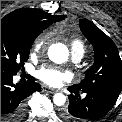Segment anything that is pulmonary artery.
<instances>
[{
    "instance_id": "e3ab8cb5",
    "label": "pulmonary artery",
    "mask_w": 122,
    "mask_h": 122,
    "mask_svg": "<svg viewBox=\"0 0 122 122\" xmlns=\"http://www.w3.org/2000/svg\"><path fill=\"white\" fill-rule=\"evenodd\" d=\"M84 53L80 50L73 49L72 50V60L74 62H79L83 58Z\"/></svg>"
}]
</instances>
